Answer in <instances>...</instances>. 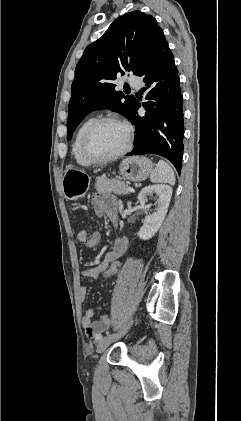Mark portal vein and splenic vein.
I'll use <instances>...</instances> for the list:
<instances>
[{
	"mask_svg": "<svg viewBox=\"0 0 241 421\" xmlns=\"http://www.w3.org/2000/svg\"><path fill=\"white\" fill-rule=\"evenodd\" d=\"M128 190L130 191V192H134L135 190L133 189V188H131V187H129L128 188Z\"/></svg>",
	"mask_w": 241,
	"mask_h": 421,
	"instance_id": "1",
	"label": "portal vein and splenic vein"
}]
</instances>
